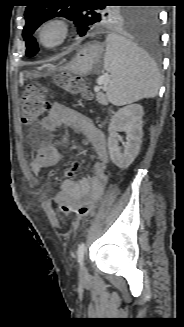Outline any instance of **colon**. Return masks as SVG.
Masks as SVG:
<instances>
[{"label": "colon", "instance_id": "colon-1", "mask_svg": "<svg viewBox=\"0 0 184 327\" xmlns=\"http://www.w3.org/2000/svg\"><path fill=\"white\" fill-rule=\"evenodd\" d=\"M57 84L70 94H79L85 98L90 97V92L83 79L70 74H60ZM46 90L39 84L27 86L20 99L21 119L25 124H30L41 117L48 107ZM59 211L73 214L77 218L86 217L94 210V203L83 202L72 205L66 201L55 202Z\"/></svg>", "mask_w": 184, "mask_h": 327}]
</instances>
